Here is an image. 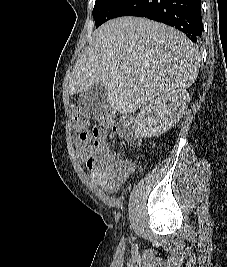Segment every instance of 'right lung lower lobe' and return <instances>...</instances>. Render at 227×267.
Returning <instances> with one entry per match:
<instances>
[{
    "mask_svg": "<svg viewBox=\"0 0 227 267\" xmlns=\"http://www.w3.org/2000/svg\"><path fill=\"white\" fill-rule=\"evenodd\" d=\"M146 17L173 26L195 43L202 35L201 0H128L114 15Z\"/></svg>",
    "mask_w": 227,
    "mask_h": 267,
    "instance_id": "98d812e1",
    "label": "right lung lower lobe"
}]
</instances>
